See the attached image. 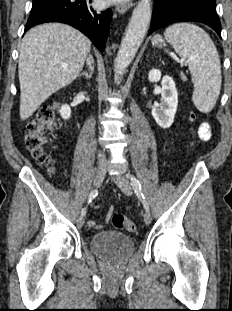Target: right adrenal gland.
Segmentation results:
<instances>
[{
  "label": "right adrenal gland",
  "instance_id": "right-adrenal-gland-1",
  "mask_svg": "<svg viewBox=\"0 0 232 311\" xmlns=\"http://www.w3.org/2000/svg\"><path fill=\"white\" fill-rule=\"evenodd\" d=\"M94 71V67L91 66L89 71H83L79 76H85L87 80H90Z\"/></svg>",
  "mask_w": 232,
  "mask_h": 311
}]
</instances>
